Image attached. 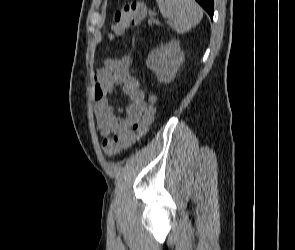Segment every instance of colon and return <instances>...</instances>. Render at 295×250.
Instances as JSON below:
<instances>
[{"label":"colon","instance_id":"5ec220e1","mask_svg":"<svg viewBox=\"0 0 295 250\" xmlns=\"http://www.w3.org/2000/svg\"><path fill=\"white\" fill-rule=\"evenodd\" d=\"M145 15L146 7L143 3H129L123 9L114 13L110 36L122 35L131 26L140 24ZM154 101V97L149 98L146 113L135 127L136 140L145 135L152 124L155 113ZM102 149L107 156H111L123 150V144L117 139H106L102 142Z\"/></svg>","mask_w":295,"mask_h":250}]
</instances>
